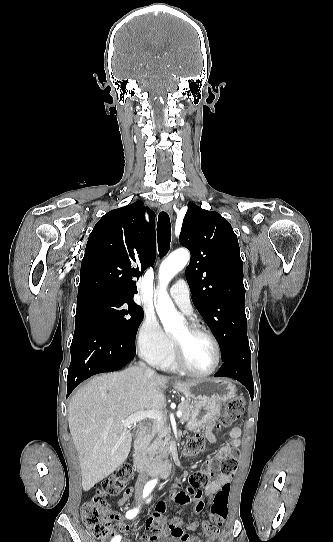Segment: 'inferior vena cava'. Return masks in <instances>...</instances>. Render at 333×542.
<instances>
[{"label": "inferior vena cava", "instance_id": "1", "mask_svg": "<svg viewBox=\"0 0 333 542\" xmlns=\"http://www.w3.org/2000/svg\"><path fill=\"white\" fill-rule=\"evenodd\" d=\"M140 368H145V374L147 376H156V372L154 370H151V368H147L146 364H143V362H139ZM148 480V474L146 470H139V476L137 478V482L135 484L136 492H142L143 486L145 482Z\"/></svg>", "mask_w": 333, "mask_h": 542}]
</instances>
